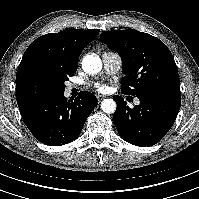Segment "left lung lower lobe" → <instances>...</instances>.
Masks as SVG:
<instances>
[{
    "label": "left lung lower lobe",
    "mask_w": 199,
    "mask_h": 199,
    "mask_svg": "<svg viewBox=\"0 0 199 199\" xmlns=\"http://www.w3.org/2000/svg\"><path fill=\"white\" fill-rule=\"evenodd\" d=\"M140 104L129 108L120 96L113 99L117 109L113 122L126 142L136 146H152L170 130L181 106V96L141 94Z\"/></svg>",
    "instance_id": "1"
}]
</instances>
